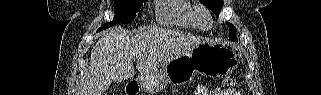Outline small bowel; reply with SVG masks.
I'll use <instances>...</instances> for the list:
<instances>
[{
  "instance_id": "obj_1",
  "label": "small bowel",
  "mask_w": 321,
  "mask_h": 95,
  "mask_svg": "<svg viewBox=\"0 0 321 95\" xmlns=\"http://www.w3.org/2000/svg\"><path fill=\"white\" fill-rule=\"evenodd\" d=\"M200 95H238V93H234L233 91L230 90H223V89H215L211 92H208L206 90H199Z\"/></svg>"
}]
</instances>
